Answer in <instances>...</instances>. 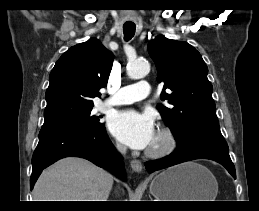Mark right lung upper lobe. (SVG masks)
<instances>
[{"label": "right lung upper lobe", "mask_w": 259, "mask_h": 211, "mask_svg": "<svg viewBox=\"0 0 259 211\" xmlns=\"http://www.w3.org/2000/svg\"><path fill=\"white\" fill-rule=\"evenodd\" d=\"M113 56L91 38L68 49L49 76L44 123H52L93 108L92 99L107 85Z\"/></svg>", "instance_id": "obj_1"}]
</instances>
